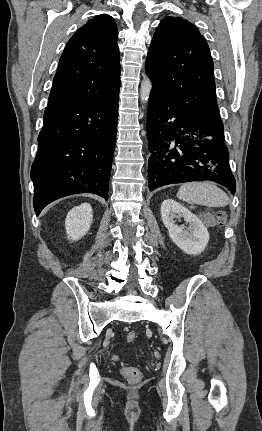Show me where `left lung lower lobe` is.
I'll return each instance as SVG.
<instances>
[{
    "label": "left lung lower lobe",
    "mask_w": 262,
    "mask_h": 431,
    "mask_svg": "<svg viewBox=\"0 0 262 431\" xmlns=\"http://www.w3.org/2000/svg\"><path fill=\"white\" fill-rule=\"evenodd\" d=\"M149 190L190 181H214L234 194L223 125L198 123L163 93L151 91L147 113Z\"/></svg>",
    "instance_id": "1"
}]
</instances>
